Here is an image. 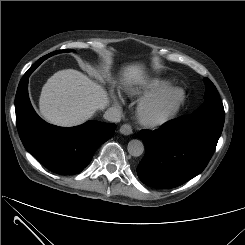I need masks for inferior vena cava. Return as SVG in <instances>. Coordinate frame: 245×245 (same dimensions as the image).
Returning a JSON list of instances; mask_svg holds the SVG:
<instances>
[{
	"label": "inferior vena cava",
	"instance_id": "obj_1",
	"mask_svg": "<svg viewBox=\"0 0 245 245\" xmlns=\"http://www.w3.org/2000/svg\"><path fill=\"white\" fill-rule=\"evenodd\" d=\"M104 118L110 122H119L121 120V112L117 108L110 107L105 111Z\"/></svg>",
	"mask_w": 245,
	"mask_h": 245
}]
</instances>
